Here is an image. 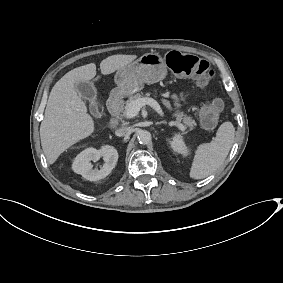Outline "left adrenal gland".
Instances as JSON below:
<instances>
[{"mask_svg": "<svg viewBox=\"0 0 283 283\" xmlns=\"http://www.w3.org/2000/svg\"><path fill=\"white\" fill-rule=\"evenodd\" d=\"M155 124H156V125L167 124V122L164 120V121L156 122Z\"/></svg>", "mask_w": 283, "mask_h": 283, "instance_id": "a2214340", "label": "left adrenal gland"}]
</instances>
